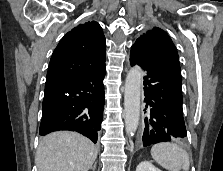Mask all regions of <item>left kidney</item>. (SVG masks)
<instances>
[{
    "mask_svg": "<svg viewBox=\"0 0 223 171\" xmlns=\"http://www.w3.org/2000/svg\"><path fill=\"white\" fill-rule=\"evenodd\" d=\"M136 171H161V170L156 168L152 163L148 161H143L137 166Z\"/></svg>",
    "mask_w": 223,
    "mask_h": 171,
    "instance_id": "5707ae66",
    "label": "left kidney"
}]
</instances>
